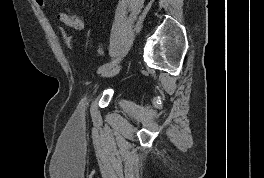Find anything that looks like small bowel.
<instances>
[{
  "mask_svg": "<svg viewBox=\"0 0 264 178\" xmlns=\"http://www.w3.org/2000/svg\"><path fill=\"white\" fill-rule=\"evenodd\" d=\"M63 1L65 5L67 6V0H63ZM35 2L39 7L43 9H49L51 7L49 0H35ZM57 20L63 25L71 28L72 30L76 32L82 31L84 28L83 19L79 15L69 10L65 12H59L57 14ZM100 54H103L102 50H100Z\"/></svg>",
  "mask_w": 264,
  "mask_h": 178,
  "instance_id": "obj_1",
  "label": "small bowel"
}]
</instances>
